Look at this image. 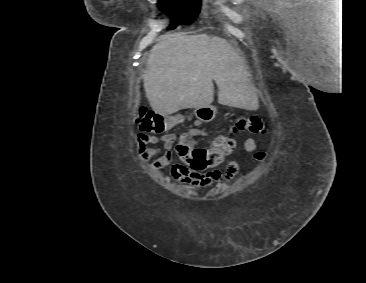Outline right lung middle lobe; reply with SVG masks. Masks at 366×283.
<instances>
[{
  "label": "right lung middle lobe",
  "instance_id": "obj_1",
  "mask_svg": "<svg viewBox=\"0 0 366 283\" xmlns=\"http://www.w3.org/2000/svg\"><path fill=\"white\" fill-rule=\"evenodd\" d=\"M159 7L172 15L170 29L182 23H191L200 10V0H159Z\"/></svg>",
  "mask_w": 366,
  "mask_h": 283
}]
</instances>
